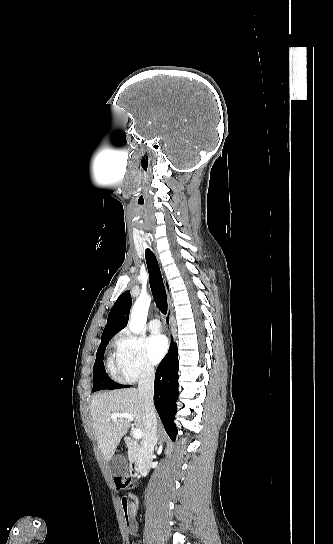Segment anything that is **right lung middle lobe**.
<instances>
[{"instance_id":"1","label":"right lung middle lobe","mask_w":333,"mask_h":544,"mask_svg":"<svg viewBox=\"0 0 333 544\" xmlns=\"http://www.w3.org/2000/svg\"><path fill=\"white\" fill-rule=\"evenodd\" d=\"M111 338L102 339L99 348L96 353V360L93 368V388L92 392L102 389H120L127 387L125 385L118 384L110 379L106 374L103 365V356L106 346Z\"/></svg>"}]
</instances>
